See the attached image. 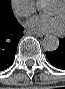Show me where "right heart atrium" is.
Instances as JSON below:
<instances>
[{
	"label": "right heart atrium",
	"instance_id": "right-heart-atrium-1",
	"mask_svg": "<svg viewBox=\"0 0 65 89\" xmlns=\"http://www.w3.org/2000/svg\"><path fill=\"white\" fill-rule=\"evenodd\" d=\"M11 7L14 13L21 18H28L36 11L34 0H12Z\"/></svg>",
	"mask_w": 65,
	"mask_h": 89
}]
</instances>
